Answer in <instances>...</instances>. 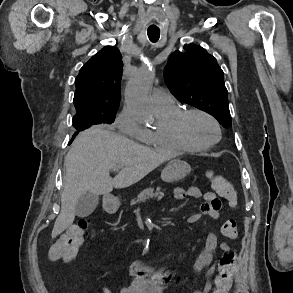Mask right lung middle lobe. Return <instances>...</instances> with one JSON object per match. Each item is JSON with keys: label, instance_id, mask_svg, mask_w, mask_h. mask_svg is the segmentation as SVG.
<instances>
[{"label": "right lung middle lobe", "instance_id": "dd1d6c3e", "mask_svg": "<svg viewBox=\"0 0 293 293\" xmlns=\"http://www.w3.org/2000/svg\"><path fill=\"white\" fill-rule=\"evenodd\" d=\"M116 111L111 112H95L86 110H77L73 117V127L77 131H82L94 124L108 123L111 124L115 120Z\"/></svg>", "mask_w": 293, "mask_h": 293}]
</instances>
